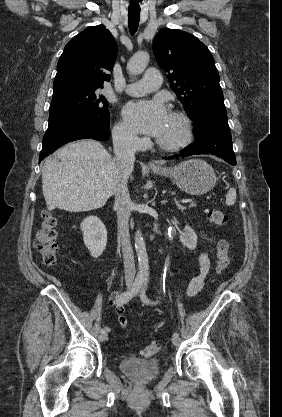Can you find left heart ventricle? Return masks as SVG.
Instances as JSON below:
<instances>
[{
    "mask_svg": "<svg viewBox=\"0 0 282 417\" xmlns=\"http://www.w3.org/2000/svg\"><path fill=\"white\" fill-rule=\"evenodd\" d=\"M181 135V125L179 121L173 117L167 116L163 129L158 138L164 141H174Z\"/></svg>",
    "mask_w": 282,
    "mask_h": 417,
    "instance_id": "1",
    "label": "left heart ventricle"
}]
</instances>
